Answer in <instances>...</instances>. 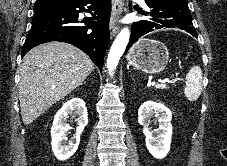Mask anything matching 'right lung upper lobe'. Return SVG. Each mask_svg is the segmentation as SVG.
<instances>
[{
  "instance_id": "cb5924a9",
  "label": "right lung upper lobe",
  "mask_w": 227,
  "mask_h": 166,
  "mask_svg": "<svg viewBox=\"0 0 227 166\" xmlns=\"http://www.w3.org/2000/svg\"><path fill=\"white\" fill-rule=\"evenodd\" d=\"M76 0H36L35 6L40 5H54V6H66Z\"/></svg>"
}]
</instances>
